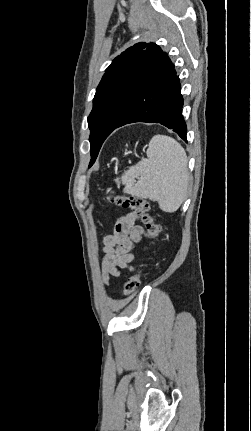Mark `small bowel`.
Returning <instances> with one entry per match:
<instances>
[{"label":"small bowel","mask_w":251,"mask_h":431,"mask_svg":"<svg viewBox=\"0 0 251 431\" xmlns=\"http://www.w3.org/2000/svg\"><path fill=\"white\" fill-rule=\"evenodd\" d=\"M136 222L137 214H125L118 219L113 234L104 236L101 270L105 283H109L112 276H121V269L133 270V245L148 236L144 228Z\"/></svg>","instance_id":"1"}]
</instances>
